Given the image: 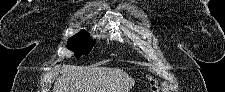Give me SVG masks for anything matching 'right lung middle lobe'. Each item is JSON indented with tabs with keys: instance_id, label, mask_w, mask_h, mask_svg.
Returning <instances> with one entry per match:
<instances>
[{
	"instance_id": "1",
	"label": "right lung middle lobe",
	"mask_w": 225,
	"mask_h": 92,
	"mask_svg": "<svg viewBox=\"0 0 225 92\" xmlns=\"http://www.w3.org/2000/svg\"><path fill=\"white\" fill-rule=\"evenodd\" d=\"M93 42L86 31L72 36L67 43V48L74 51L75 56L79 58L81 55H88L94 46Z\"/></svg>"
}]
</instances>
